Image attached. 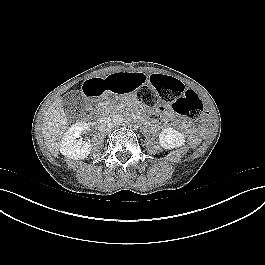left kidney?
I'll return each mask as SVG.
<instances>
[{"instance_id": "left-kidney-1", "label": "left kidney", "mask_w": 265, "mask_h": 265, "mask_svg": "<svg viewBox=\"0 0 265 265\" xmlns=\"http://www.w3.org/2000/svg\"><path fill=\"white\" fill-rule=\"evenodd\" d=\"M184 142L183 135L173 128H166L159 135V143L164 149L180 147Z\"/></svg>"}]
</instances>
